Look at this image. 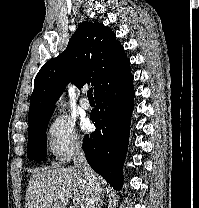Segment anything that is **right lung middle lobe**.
<instances>
[{
	"label": "right lung middle lobe",
	"instance_id": "right-lung-middle-lobe-1",
	"mask_svg": "<svg viewBox=\"0 0 199 208\" xmlns=\"http://www.w3.org/2000/svg\"><path fill=\"white\" fill-rule=\"evenodd\" d=\"M48 121L28 131L27 157L35 160L46 159Z\"/></svg>",
	"mask_w": 199,
	"mask_h": 208
}]
</instances>
